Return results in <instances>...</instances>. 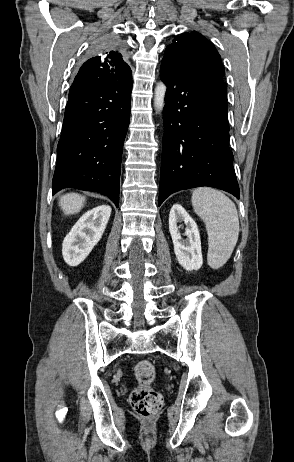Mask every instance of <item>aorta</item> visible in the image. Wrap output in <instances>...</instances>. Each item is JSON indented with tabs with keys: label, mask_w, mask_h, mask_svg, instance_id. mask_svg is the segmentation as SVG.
<instances>
[{
	"label": "aorta",
	"mask_w": 294,
	"mask_h": 462,
	"mask_svg": "<svg viewBox=\"0 0 294 462\" xmlns=\"http://www.w3.org/2000/svg\"><path fill=\"white\" fill-rule=\"evenodd\" d=\"M166 90V85L163 82H159L155 88L154 106L157 112L163 110Z\"/></svg>",
	"instance_id": "obj_1"
}]
</instances>
